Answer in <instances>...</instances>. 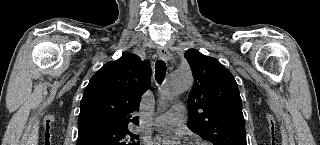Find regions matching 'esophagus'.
I'll list each match as a JSON object with an SVG mask.
<instances>
[{"label":"esophagus","instance_id":"esophagus-1","mask_svg":"<svg viewBox=\"0 0 320 145\" xmlns=\"http://www.w3.org/2000/svg\"><path fill=\"white\" fill-rule=\"evenodd\" d=\"M158 55L161 59L168 61L170 59V52L167 47L159 46L157 48Z\"/></svg>","mask_w":320,"mask_h":145}]
</instances>
